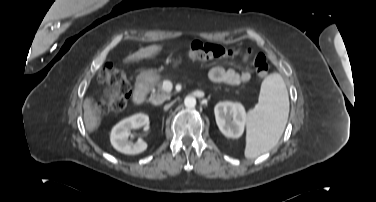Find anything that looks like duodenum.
<instances>
[{
	"mask_svg": "<svg viewBox=\"0 0 376 202\" xmlns=\"http://www.w3.org/2000/svg\"><path fill=\"white\" fill-rule=\"evenodd\" d=\"M147 95V83L145 79H140L137 81L134 92H133V103L140 105L144 102Z\"/></svg>",
	"mask_w": 376,
	"mask_h": 202,
	"instance_id": "obj_1",
	"label": "duodenum"
}]
</instances>
